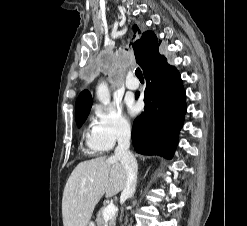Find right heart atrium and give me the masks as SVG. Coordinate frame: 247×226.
Masks as SVG:
<instances>
[{
    "mask_svg": "<svg viewBox=\"0 0 247 226\" xmlns=\"http://www.w3.org/2000/svg\"><path fill=\"white\" fill-rule=\"evenodd\" d=\"M131 124L118 108L95 111V117L89 132L90 142L103 149L111 150L116 144L129 139Z\"/></svg>",
    "mask_w": 247,
    "mask_h": 226,
    "instance_id": "1",
    "label": "right heart atrium"
}]
</instances>
